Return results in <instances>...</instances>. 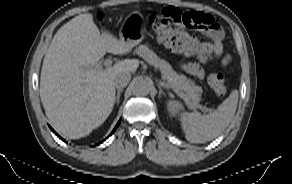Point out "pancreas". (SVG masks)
Instances as JSON below:
<instances>
[{
	"mask_svg": "<svg viewBox=\"0 0 292 184\" xmlns=\"http://www.w3.org/2000/svg\"><path fill=\"white\" fill-rule=\"evenodd\" d=\"M136 53L141 56L147 63L158 68L161 72L162 79L166 84L174 89H177L185 100L189 108L195 109L199 107L202 88L196 86L193 81L187 79L184 75H178L171 65L164 59H160L146 45H140L136 49Z\"/></svg>",
	"mask_w": 292,
	"mask_h": 184,
	"instance_id": "obj_1",
	"label": "pancreas"
}]
</instances>
